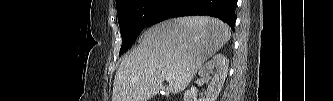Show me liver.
Here are the masks:
<instances>
[{
  "label": "liver",
  "instance_id": "6515ba94",
  "mask_svg": "<svg viewBox=\"0 0 333 101\" xmlns=\"http://www.w3.org/2000/svg\"><path fill=\"white\" fill-rule=\"evenodd\" d=\"M231 38L219 19L192 16L163 21L148 29L121 62L112 101H148L159 90L183 91L200 67ZM171 75L167 86L164 77Z\"/></svg>",
  "mask_w": 333,
  "mask_h": 101
}]
</instances>
